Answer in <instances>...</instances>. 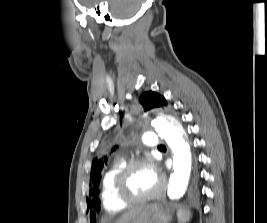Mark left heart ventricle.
Returning <instances> with one entry per match:
<instances>
[{
    "label": "left heart ventricle",
    "instance_id": "left-heart-ventricle-1",
    "mask_svg": "<svg viewBox=\"0 0 267 223\" xmlns=\"http://www.w3.org/2000/svg\"><path fill=\"white\" fill-rule=\"evenodd\" d=\"M158 182V177L152 170L146 166H138L129 175L125 190L129 196L139 197L152 192Z\"/></svg>",
    "mask_w": 267,
    "mask_h": 223
}]
</instances>
